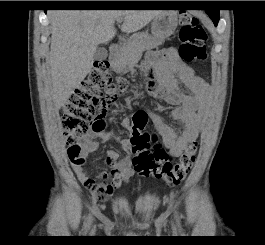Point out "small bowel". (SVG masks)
<instances>
[{
    "label": "small bowel",
    "instance_id": "1",
    "mask_svg": "<svg viewBox=\"0 0 265 245\" xmlns=\"http://www.w3.org/2000/svg\"><path fill=\"white\" fill-rule=\"evenodd\" d=\"M145 70L153 73V80L147 84V90L151 97L160 99L167 104L176 105L177 108L169 115L164 116L153 109H146L149 120L154 128L163 138L165 146L169 152L179 157L185 147L195 141L202 128L199 112L205 107L209 96V84L197 76L191 66L183 62L175 48H168L160 51H148L143 60ZM182 84L187 92L180 91ZM170 121L178 122L181 131L178 134ZM123 126L132 132V124L128 118L123 120ZM99 137L103 140H114L121 143L127 154H121L110 149L106 154V164L112 169L102 172L99 178L103 181L110 180V183L103 185L90 177L83 166H74L75 174L80 183L95 196L110 197L123 182L133 176L131 169L130 155L132 151L131 139H121L117 134L101 130L92 131L84 140V155H88L98 150L99 144L95 140Z\"/></svg>",
    "mask_w": 265,
    "mask_h": 245
}]
</instances>
